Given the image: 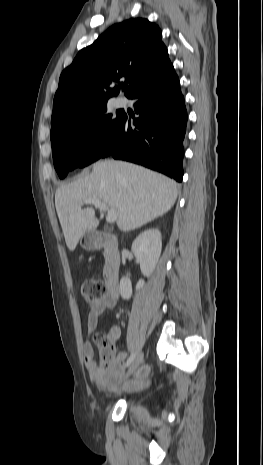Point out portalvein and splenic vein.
I'll use <instances>...</instances> for the list:
<instances>
[{
  "instance_id": "1",
  "label": "portal vein and splenic vein",
  "mask_w": 263,
  "mask_h": 465,
  "mask_svg": "<svg viewBox=\"0 0 263 465\" xmlns=\"http://www.w3.org/2000/svg\"><path fill=\"white\" fill-rule=\"evenodd\" d=\"M84 204H92L96 208H98L100 211L107 212L106 216V221L108 223H112L116 220L117 214L116 211L110 209L107 204L101 202L100 200L97 199H87L84 201Z\"/></svg>"
}]
</instances>
